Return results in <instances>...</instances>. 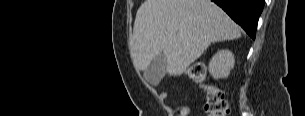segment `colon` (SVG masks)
Here are the masks:
<instances>
[{"label":"colon","instance_id":"5ec220e1","mask_svg":"<svg viewBox=\"0 0 305 116\" xmlns=\"http://www.w3.org/2000/svg\"><path fill=\"white\" fill-rule=\"evenodd\" d=\"M186 74L190 79L203 85L206 91L204 110L208 116H227L230 114L231 108L224 98L223 91L213 84L206 83L207 69L203 64H191ZM186 115H188V109L185 107L182 109L180 116Z\"/></svg>","mask_w":305,"mask_h":116}]
</instances>
